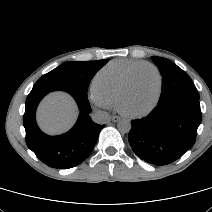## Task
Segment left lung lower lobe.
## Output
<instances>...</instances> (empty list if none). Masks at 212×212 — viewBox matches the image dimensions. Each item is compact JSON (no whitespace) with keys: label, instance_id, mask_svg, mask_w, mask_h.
Instances as JSON below:
<instances>
[{"label":"left lung lower lobe","instance_id":"left-lung-lower-lobe-1","mask_svg":"<svg viewBox=\"0 0 212 212\" xmlns=\"http://www.w3.org/2000/svg\"><path fill=\"white\" fill-rule=\"evenodd\" d=\"M201 119L199 100L173 97L158 102L148 116L131 121L128 141L141 160L167 165L194 145Z\"/></svg>","mask_w":212,"mask_h":212}]
</instances>
